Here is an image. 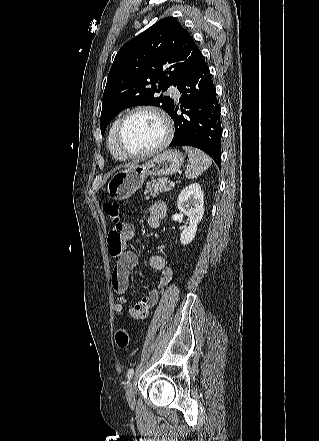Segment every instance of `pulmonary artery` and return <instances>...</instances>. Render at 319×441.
<instances>
[{
    "label": "pulmonary artery",
    "instance_id": "pulmonary-artery-1",
    "mask_svg": "<svg viewBox=\"0 0 319 441\" xmlns=\"http://www.w3.org/2000/svg\"><path fill=\"white\" fill-rule=\"evenodd\" d=\"M168 92L175 98H178L180 95L177 87H175V86H170L168 89Z\"/></svg>",
    "mask_w": 319,
    "mask_h": 441
}]
</instances>
